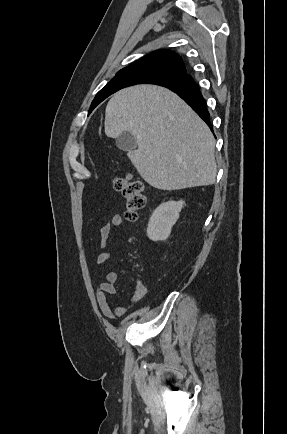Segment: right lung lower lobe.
I'll return each mask as SVG.
<instances>
[{
	"label": "right lung lower lobe",
	"mask_w": 287,
	"mask_h": 434,
	"mask_svg": "<svg viewBox=\"0 0 287 434\" xmlns=\"http://www.w3.org/2000/svg\"><path fill=\"white\" fill-rule=\"evenodd\" d=\"M177 93L192 109L207 123L212 130L210 115L207 110L206 101L200 89L190 75L180 81L164 86Z\"/></svg>",
	"instance_id": "98d812e1"
}]
</instances>
